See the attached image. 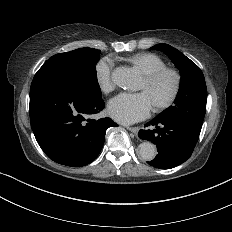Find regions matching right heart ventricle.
<instances>
[{
    "label": "right heart ventricle",
    "instance_id": "e07e8e85",
    "mask_svg": "<svg viewBox=\"0 0 232 232\" xmlns=\"http://www.w3.org/2000/svg\"><path fill=\"white\" fill-rule=\"evenodd\" d=\"M132 62L141 69L144 76L166 67L165 61L157 54L151 52L134 55Z\"/></svg>",
    "mask_w": 232,
    "mask_h": 232
}]
</instances>
